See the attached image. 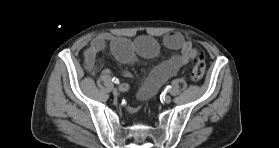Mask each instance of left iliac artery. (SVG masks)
Segmentation results:
<instances>
[{"mask_svg": "<svg viewBox=\"0 0 279 148\" xmlns=\"http://www.w3.org/2000/svg\"><path fill=\"white\" fill-rule=\"evenodd\" d=\"M171 86L170 85H168L166 88H165V91H170L171 90Z\"/></svg>", "mask_w": 279, "mask_h": 148, "instance_id": "44dca946", "label": "left iliac artery"}]
</instances>
